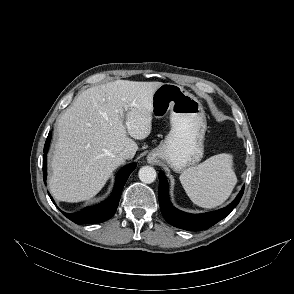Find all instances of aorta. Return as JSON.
Masks as SVG:
<instances>
[{"label":"aorta","instance_id":"1","mask_svg":"<svg viewBox=\"0 0 294 294\" xmlns=\"http://www.w3.org/2000/svg\"><path fill=\"white\" fill-rule=\"evenodd\" d=\"M139 179L146 184L153 183L156 179V171L153 167L151 166H143L139 170Z\"/></svg>","mask_w":294,"mask_h":294}]
</instances>
